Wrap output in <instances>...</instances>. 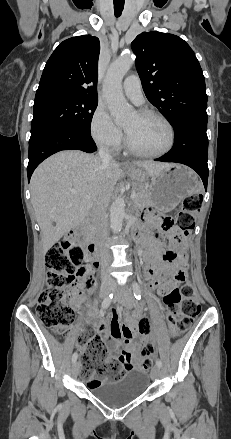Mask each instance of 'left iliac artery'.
Segmentation results:
<instances>
[{"label":"left iliac artery","mask_w":231,"mask_h":439,"mask_svg":"<svg viewBox=\"0 0 231 439\" xmlns=\"http://www.w3.org/2000/svg\"><path fill=\"white\" fill-rule=\"evenodd\" d=\"M133 293H134V296H135V298H136L137 300H140V299H141V289H140V286H139L136 282H133ZM156 365H157L159 368H161V367H162V362H161V360L157 359V360H156Z\"/></svg>","instance_id":"left-iliac-artery-1"}]
</instances>
